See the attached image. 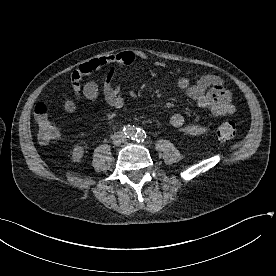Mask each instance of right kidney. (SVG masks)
<instances>
[{
  "label": "right kidney",
  "mask_w": 276,
  "mask_h": 276,
  "mask_svg": "<svg viewBox=\"0 0 276 276\" xmlns=\"http://www.w3.org/2000/svg\"><path fill=\"white\" fill-rule=\"evenodd\" d=\"M83 154H84V148L79 145L75 146L72 150V160L74 162L81 161Z\"/></svg>",
  "instance_id": "obj_1"
}]
</instances>
